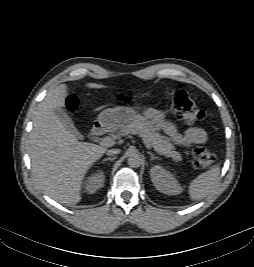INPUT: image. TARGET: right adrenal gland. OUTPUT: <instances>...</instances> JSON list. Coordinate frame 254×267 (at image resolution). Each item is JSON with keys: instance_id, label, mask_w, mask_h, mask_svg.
Segmentation results:
<instances>
[{"instance_id": "1", "label": "right adrenal gland", "mask_w": 254, "mask_h": 267, "mask_svg": "<svg viewBox=\"0 0 254 267\" xmlns=\"http://www.w3.org/2000/svg\"><path fill=\"white\" fill-rule=\"evenodd\" d=\"M115 158H116V157L105 158V159H103V162H105V161H113V160H115Z\"/></svg>"}]
</instances>
